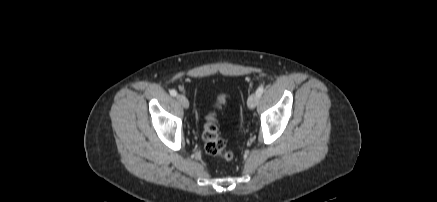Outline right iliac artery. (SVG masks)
Here are the masks:
<instances>
[{
	"label": "right iliac artery",
	"instance_id": "82829eb1",
	"mask_svg": "<svg viewBox=\"0 0 437 202\" xmlns=\"http://www.w3.org/2000/svg\"><path fill=\"white\" fill-rule=\"evenodd\" d=\"M170 95H171V96H176V95H177V91L174 90V89H172V90L170 91Z\"/></svg>",
	"mask_w": 437,
	"mask_h": 202
}]
</instances>
